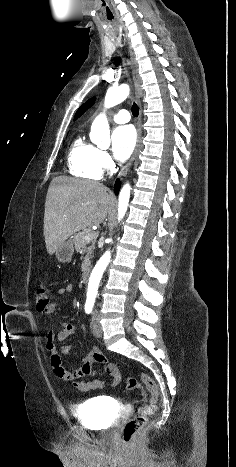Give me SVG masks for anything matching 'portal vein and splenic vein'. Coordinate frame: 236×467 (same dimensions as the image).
Instances as JSON below:
<instances>
[{
  "label": "portal vein and splenic vein",
  "mask_w": 236,
  "mask_h": 467,
  "mask_svg": "<svg viewBox=\"0 0 236 467\" xmlns=\"http://www.w3.org/2000/svg\"><path fill=\"white\" fill-rule=\"evenodd\" d=\"M95 235H96V233H95V232H92V233H90V234H87V235L84 237V239H85L86 241H91L92 239L95 238Z\"/></svg>",
  "instance_id": "1"
}]
</instances>
